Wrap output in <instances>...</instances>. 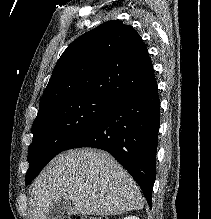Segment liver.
<instances>
[{
  "label": "liver",
  "mask_w": 211,
  "mask_h": 219,
  "mask_svg": "<svg viewBox=\"0 0 211 219\" xmlns=\"http://www.w3.org/2000/svg\"><path fill=\"white\" fill-rule=\"evenodd\" d=\"M69 199L68 214L117 215L144 206L140 188L107 152L84 148L62 152L31 188L32 219H46L52 203Z\"/></svg>",
  "instance_id": "6515ba94"
}]
</instances>
